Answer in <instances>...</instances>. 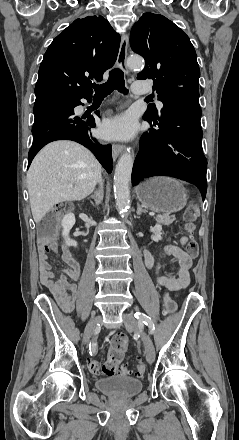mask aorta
<instances>
[{"label": "aorta", "instance_id": "762f6f07", "mask_svg": "<svg viewBox=\"0 0 239 440\" xmlns=\"http://www.w3.org/2000/svg\"><path fill=\"white\" fill-rule=\"evenodd\" d=\"M129 68H141L144 60L141 56H130L128 58ZM134 156L131 152H124L118 160L114 176V194L119 214L127 216L130 208V186Z\"/></svg>", "mask_w": 239, "mask_h": 440}]
</instances>
